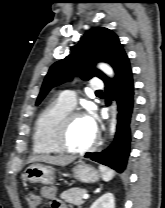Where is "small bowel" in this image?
I'll return each mask as SVG.
<instances>
[{
	"mask_svg": "<svg viewBox=\"0 0 165 208\" xmlns=\"http://www.w3.org/2000/svg\"><path fill=\"white\" fill-rule=\"evenodd\" d=\"M42 196L50 200L51 208H68L61 200L56 197V188L45 186L42 188Z\"/></svg>",
	"mask_w": 165,
	"mask_h": 208,
	"instance_id": "c3829d8e",
	"label": "small bowel"
}]
</instances>
